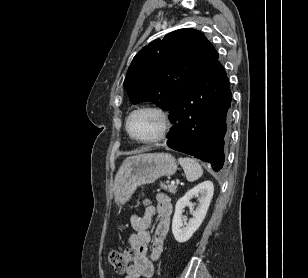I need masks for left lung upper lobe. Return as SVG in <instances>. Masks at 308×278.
<instances>
[{"mask_svg":"<svg viewBox=\"0 0 308 278\" xmlns=\"http://www.w3.org/2000/svg\"><path fill=\"white\" fill-rule=\"evenodd\" d=\"M218 61L203 33L180 29L152 41L134 57L124 81L130 101L170 110L185 89Z\"/></svg>","mask_w":308,"mask_h":278,"instance_id":"5c2ea615","label":"left lung upper lobe"}]
</instances>
